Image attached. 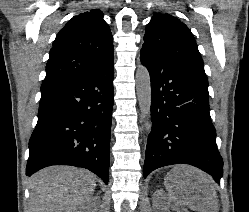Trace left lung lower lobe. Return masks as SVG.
<instances>
[{"label": "left lung lower lobe", "mask_w": 249, "mask_h": 212, "mask_svg": "<svg viewBox=\"0 0 249 212\" xmlns=\"http://www.w3.org/2000/svg\"><path fill=\"white\" fill-rule=\"evenodd\" d=\"M151 79L152 130L148 136L143 175L172 164H190L219 183L223 161L209 112L204 73L165 58L141 54Z\"/></svg>", "instance_id": "obj_1"}]
</instances>
